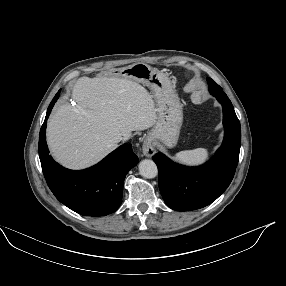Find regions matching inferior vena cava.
Wrapping results in <instances>:
<instances>
[{
  "label": "inferior vena cava",
  "mask_w": 286,
  "mask_h": 286,
  "mask_svg": "<svg viewBox=\"0 0 286 286\" xmlns=\"http://www.w3.org/2000/svg\"><path fill=\"white\" fill-rule=\"evenodd\" d=\"M122 140H124L123 137H119V138L117 139V142H120V141H122Z\"/></svg>",
  "instance_id": "1"
}]
</instances>
